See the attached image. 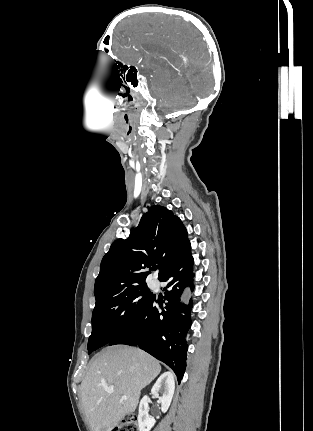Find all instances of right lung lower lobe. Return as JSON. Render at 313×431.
<instances>
[{
  "label": "right lung lower lobe",
  "instance_id": "1",
  "mask_svg": "<svg viewBox=\"0 0 313 431\" xmlns=\"http://www.w3.org/2000/svg\"><path fill=\"white\" fill-rule=\"evenodd\" d=\"M193 257L190 242L181 256L160 281L164 288L165 307L155 297L137 320L109 345L139 346L175 372L180 382L186 368V335L191 326L192 300L187 302L188 288L193 291Z\"/></svg>",
  "mask_w": 313,
  "mask_h": 431
}]
</instances>
